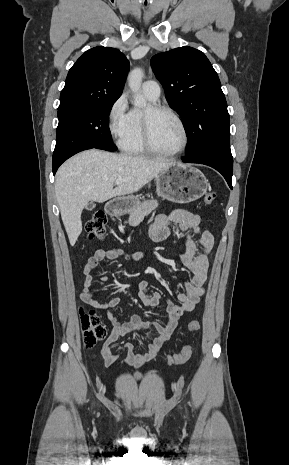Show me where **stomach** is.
<instances>
[{
    "instance_id": "0dacf381",
    "label": "stomach",
    "mask_w": 289,
    "mask_h": 465,
    "mask_svg": "<svg viewBox=\"0 0 289 465\" xmlns=\"http://www.w3.org/2000/svg\"><path fill=\"white\" fill-rule=\"evenodd\" d=\"M156 180L157 195L175 203H189L201 198L207 191L208 180L204 174L190 166L174 163ZM140 204L138 196L119 197L109 203V213L121 215L131 212Z\"/></svg>"
}]
</instances>
